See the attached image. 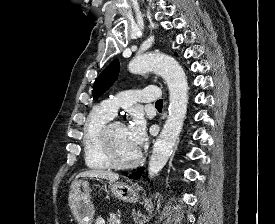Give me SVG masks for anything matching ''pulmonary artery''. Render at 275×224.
<instances>
[{
  "label": "pulmonary artery",
  "instance_id": "obj_1",
  "mask_svg": "<svg viewBox=\"0 0 275 224\" xmlns=\"http://www.w3.org/2000/svg\"><path fill=\"white\" fill-rule=\"evenodd\" d=\"M161 91L157 87H145L141 89L126 90L117 93L101 103V107L111 116H114L118 108L128 107L135 102H152L159 100Z\"/></svg>",
  "mask_w": 275,
  "mask_h": 224
}]
</instances>
